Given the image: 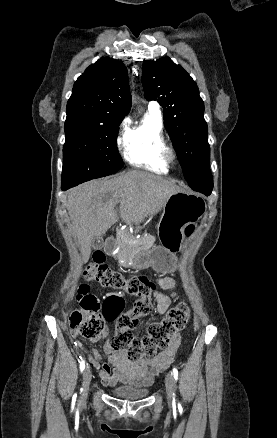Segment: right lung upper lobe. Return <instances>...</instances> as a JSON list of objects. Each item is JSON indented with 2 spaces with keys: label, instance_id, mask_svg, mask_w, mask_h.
<instances>
[{
  "label": "right lung upper lobe",
  "instance_id": "cb5924a9",
  "mask_svg": "<svg viewBox=\"0 0 277 438\" xmlns=\"http://www.w3.org/2000/svg\"><path fill=\"white\" fill-rule=\"evenodd\" d=\"M130 108L127 69L118 60L106 57L90 65L74 83L66 120L121 122Z\"/></svg>",
  "mask_w": 277,
  "mask_h": 438
}]
</instances>
